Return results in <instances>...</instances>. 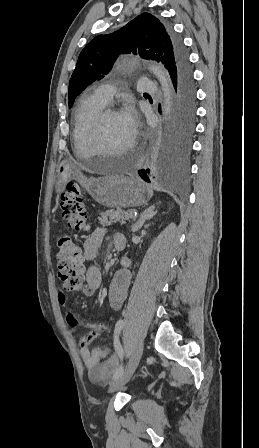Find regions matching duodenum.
Listing matches in <instances>:
<instances>
[{
	"mask_svg": "<svg viewBox=\"0 0 259 448\" xmlns=\"http://www.w3.org/2000/svg\"><path fill=\"white\" fill-rule=\"evenodd\" d=\"M119 249H120V250H123V249H124V246H123V245L119 246Z\"/></svg>",
	"mask_w": 259,
	"mask_h": 448,
	"instance_id": "1",
	"label": "duodenum"
}]
</instances>
